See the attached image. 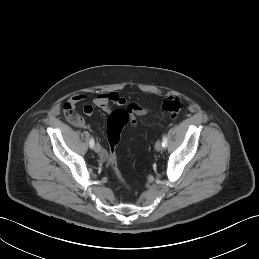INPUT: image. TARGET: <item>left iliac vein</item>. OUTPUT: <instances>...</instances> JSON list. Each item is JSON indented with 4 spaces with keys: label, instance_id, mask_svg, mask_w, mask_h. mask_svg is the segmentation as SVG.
Instances as JSON below:
<instances>
[{
    "label": "left iliac vein",
    "instance_id": "left-iliac-vein-1",
    "mask_svg": "<svg viewBox=\"0 0 259 259\" xmlns=\"http://www.w3.org/2000/svg\"><path fill=\"white\" fill-rule=\"evenodd\" d=\"M156 151H160L162 149V143L161 141H157L155 144Z\"/></svg>",
    "mask_w": 259,
    "mask_h": 259
}]
</instances>
